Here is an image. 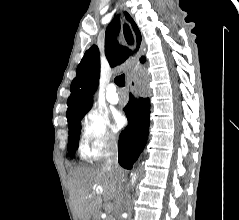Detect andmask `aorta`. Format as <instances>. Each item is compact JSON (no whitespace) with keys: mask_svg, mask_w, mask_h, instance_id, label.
Returning a JSON list of instances; mask_svg holds the SVG:
<instances>
[{"mask_svg":"<svg viewBox=\"0 0 239 220\" xmlns=\"http://www.w3.org/2000/svg\"><path fill=\"white\" fill-rule=\"evenodd\" d=\"M136 181V174H132V179H131V182L132 184Z\"/></svg>","mask_w":239,"mask_h":220,"instance_id":"obj_1","label":"aorta"}]
</instances>
